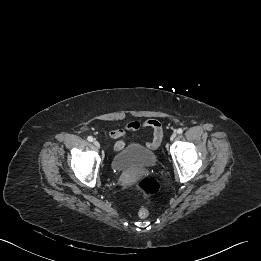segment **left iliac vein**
Returning <instances> with one entry per match:
<instances>
[{
  "instance_id": "1",
  "label": "left iliac vein",
  "mask_w": 261,
  "mask_h": 261,
  "mask_svg": "<svg viewBox=\"0 0 261 261\" xmlns=\"http://www.w3.org/2000/svg\"><path fill=\"white\" fill-rule=\"evenodd\" d=\"M176 136H177V134H176V133H173V134L170 136L171 141L175 140Z\"/></svg>"
}]
</instances>
